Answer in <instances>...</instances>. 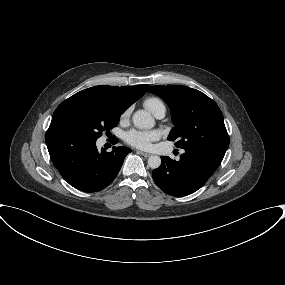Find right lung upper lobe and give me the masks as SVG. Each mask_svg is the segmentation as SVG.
Here are the masks:
<instances>
[{
    "mask_svg": "<svg viewBox=\"0 0 285 285\" xmlns=\"http://www.w3.org/2000/svg\"><path fill=\"white\" fill-rule=\"evenodd\" d=\"M149 86H95L82 90L66 101H93L108 104L122 112L139 99Z\"/></svg>",
    "mask_w": 285,
    "mask_h": 285,
    "instance_id": "cb5924a9",
    "label": "right lung upper lobe"
}]
</instances>
